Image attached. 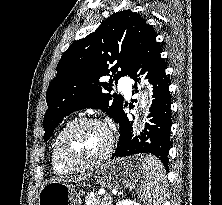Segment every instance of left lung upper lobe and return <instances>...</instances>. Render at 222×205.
<instances>
[{
	"mask_svg": "<svg viewBox=\"0 0 222 205\" xmlns=\"http://www.w3.org/2000/svg\"><path fill=\"white\" fill-rule=\"evenodd\" d=\"M153 33L143 17L123 10L108 17L95 32L73 42L61 57L47 90L44 141L65 116L80 109H101L117 121L123 97L105 90L111 92L118 79L128 75ZM109 72V83L100 82Z\"/></svg>",
	"mask_w": 222,
	"mask_h": 205,
	"instance_id": "5c2ea615",
	"label": "left lung upper lobe"
}]
</instances>
